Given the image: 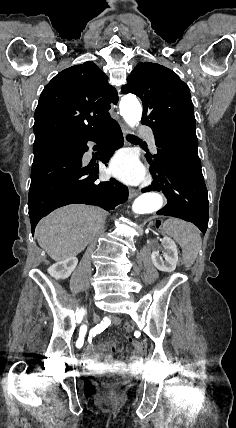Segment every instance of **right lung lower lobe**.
<instances>
[{
    "label": "right lung lower lobe",
    "instance_id": "98d812e1",
    "mask_svg": "<svg viewBox=\"0 0 236 428\" xmlns=\"http://www.w3.org/2000/svg\"><path fill=\"white\" fill-rule=\"evenodd\" d=\"M62 147L35 158L32 164L28 207L32 234L39 220L64 205L82 203L105 210L128 199V189L114 179L98 182V165L83 166L87 142L101 147L99 159L106 163L124 140L118 123L111 119L86 134L58 139Z\"/></svg>",
    "mask_w": 236,
    "mask_h": 428
}]
</instances>
